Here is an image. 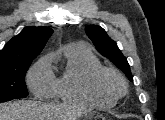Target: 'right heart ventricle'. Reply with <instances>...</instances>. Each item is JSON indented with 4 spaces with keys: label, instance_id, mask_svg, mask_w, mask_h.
Here are the masks:
<instances>
[{
    "label": "right heart ventricle",
    "instance_id": "1",
    "mask_svg": "<svg viewBox=\"0 0 165 120\" xmlns=\"http://www.w3.org/2000/svg\"><path fill=\"white\" fill-rule=\"evenodd\" d=\"M101 63L88 48L68 46L63 51V66L58 77L54 78L52 96L64 103L110 108L115 101L93 95L89 89L90 74Z\"/></svg>",
    "mask_w": 165,
    "mask_h": 120
}]
</instances>
